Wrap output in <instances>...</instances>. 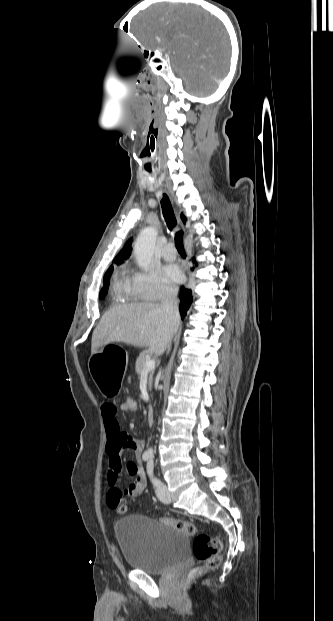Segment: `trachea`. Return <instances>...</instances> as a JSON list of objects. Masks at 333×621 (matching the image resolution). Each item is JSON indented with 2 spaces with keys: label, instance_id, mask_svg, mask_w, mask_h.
I'll use <instances>...</instances> for the list:
<instances>
[{
  "label": "trachea",
  "instance_id": "1",
  "mask_svg": "<svg viewBox=\"0 0 333 621\" xmlns=\"http://www.w3.org/2000/svg\"><path fill=\"white\" fill-rule=\"evenodd\" d=\"M162 212L167 223V226L170 231L176 226V218L174 215L173 208L171 206L170 200L166 194H163V198L161 200ZM175 245L178 252L182 255L185 254L184 245H183V233L178 231L175 234Z\"/></svg>",
  "mask_w": 333,
  "mask_h": 621
}]
</instances>
